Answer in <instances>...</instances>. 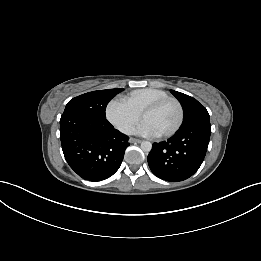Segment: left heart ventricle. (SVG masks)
I'll return each instance as SVG.
<instances>
[{"instance_id":"1","label":"left heart ventricle","mask_w":261,"mask_h":261,"mask_svg":"<svg viewBox=\"0 0 261 261\" xmlns=\"http://www.w3.org/2000/svg\"><path fill=\"white\" fill-rule=\"evenodd\" d=\"M178 116L177 106L169 102L147 113L143 120L149 122L160 134L170 130L176 124Z\"/></svg>"}]
</instances>
